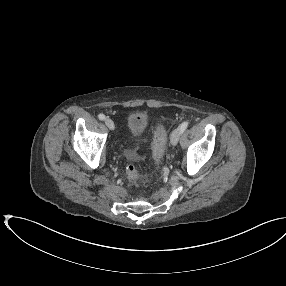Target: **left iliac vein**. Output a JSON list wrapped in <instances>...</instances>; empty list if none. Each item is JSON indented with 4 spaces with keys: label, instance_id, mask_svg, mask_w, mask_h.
Listing matches in <instances>:
<instances>
[{
    "label": "left iliac vein",
    "instance_id": "left-iliac-vein-1",
    "mask_svg": "<svg viewBox=\"0 0 286 286\" xmlns=\"http://www.w3.org/2000/svg\"><path fill=\"white\" fill-rule=\"evenodd\" d=\"M180 136H181V130L180 128H176L172 134H171V137H170V141H171V144L173 146L177 145L179 139H180Z\"/></svg>",
    "mask_w": 286,
    "mask_h": 286
}]
</instances>
